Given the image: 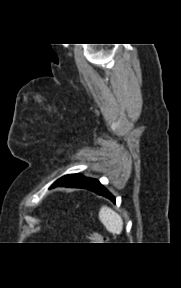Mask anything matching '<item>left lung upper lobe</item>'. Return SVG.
<instances>
[{
	"label": "left lung upper lobe",
	"instance_id": "5c2ea615",
	"mask_svg": "<svg viewBox=\"0 0 181 288\" xmlns=\"http://www.w3.org/2000/svg\"><path fill=\"white\" fill-rule=\"evenodd\" d=\"M84 179L85 177L80 174H69V175L61 177L56 182L59 183L60 185L69 186V185L76 184Z\"/></svg>",
	"mask_w": 181,
	"mask_h": 288
}]
</instances>
